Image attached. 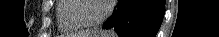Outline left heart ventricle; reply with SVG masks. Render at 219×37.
<instances>
[{
    "mask_svg": "<svg viewBox=\"0 0 219 37\" xmlns=\"http://www.w3.org/2000/svg\"><path fill=\"white\" fill-rule=\"evenodd\" d=\"M105 1L102 0H86L81 5V16L87 20H96L104 12Z\"/></svg>",
    "mask_w": 219,
    "mask_h": 37,
    "instance_id": "obj_1",
    "label": "left heart ventricle"
}]
</instances>
